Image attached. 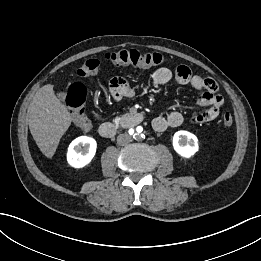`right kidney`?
<instances>
[{
    "label": "right kidney",
    "instance_id": "obj_1",
    "mask_svg": "<svg viewBox=\"0 0 261 261\" xmlns=\"http://www.w3.org/2000/svg\"><path fill=\"white\" fill-rule=\"evenodd\" d=\"M97 143L88 136H80L73 140L67 152V161L74 168H82L89 164L96 153Z\"/></svg>",
    "mask_w": 261,
    "mask_h": 261
}]
</instances>
